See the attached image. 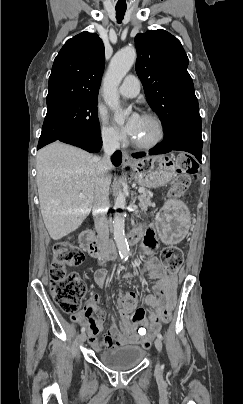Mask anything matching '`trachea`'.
<instances>
[{
  "mask_svg": "<svg viewBox=\"0 0 243 404\" xmlns=\"http://www.w3.org/2000/svg\"><path fill=\"white\" fill-rule=\"evenodd\" d=\"M115 9H116L117 22L120 24L124 18L127 7L126 6H123V7L116 6Z\"/></svg>",
  "mask_w": 243,
  "mask_h": 404,
  "instance_id": "1",
  "label": "trachea"
}]
</instances>
